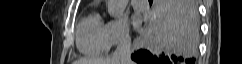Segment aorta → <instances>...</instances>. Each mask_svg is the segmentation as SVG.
Listing matches in <instances>:
<instances>
[{"label": "aorta", "mask_w": 242, "mask_h": 64, "mask_svg": "<svg viewBox=\"0 0 242 64\" xmlns=\"http://www.w3.org/2000/svg\"><path fill=\"white\" fill-rule=\"evenodd\" d=\"M128 0H108V13L112 18H119L124 13Z\"/></svg>", "instance_id": "aorta-1"}]
</instances>
